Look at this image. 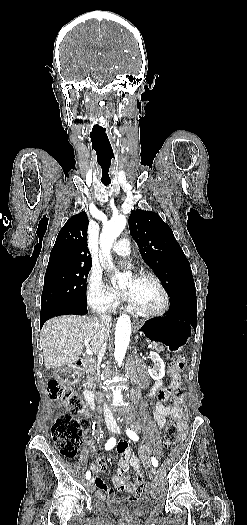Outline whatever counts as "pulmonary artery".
Segmentation results:
<instances>
[{"label": "pulmonary artery", "instance_id": "obj_1", "mask_svg": "<svg viewBox=\"0 0 247 525\" xmlns=\"http://www.w3.org/2000/svg\"><path fill=\"white\" fill-rule=\"evenodd\" d=\"M132 240L128 236L120 237L113 245L114 254L125 256L131 250Z\"/></svg>", "mask_w": 247, "mask_h": 525}]
</instances>
